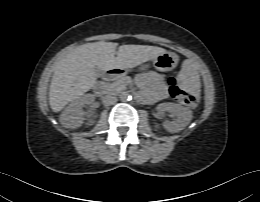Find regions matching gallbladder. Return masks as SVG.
<instances>
[{"label":"gallbladder","instance_id":"obj_1","mask_svg":"<svg viewBox=\"0 0 260 202\" xmlns=\"http://www.w3.org/2000/svg\"><path fill=\"white\" fill-rule=\"evenodd\" d=\"M95 74L96 76H102L103 73L99 69L95 68Z\"/></svg>","mask_w":260,"mask_h":202}]
</instances>
